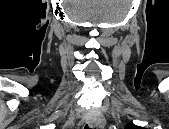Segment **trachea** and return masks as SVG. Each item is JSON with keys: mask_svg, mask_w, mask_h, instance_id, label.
Here are the masks:
<instances>
[{"mask_svg": "<svg viewBox=\"0 0 169 129\" xmlns=\"http://www.w3.org/2000/svg\"><path fill=\"white\" fill-rule=\"evenodd\" d=\"M84 129H90V128L88 127V125H85Z\"/></svg>", "mask_w": 169, "mask_h": 129, "instance_id": "3493384b", "label": "trachea"}]
</instances>
